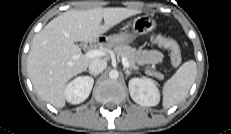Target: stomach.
I'll use <instances>...</instances> for the list:
<instances>
[{
	"mask_svg": "<svg viewBox=\"0 0 231 134\" xmlns=\"http://www.w3.org/2000/svg\"><path fill=\"white\" fill-rule=\"evenodd\" d=\"M157 27L156 21L149 15L138 16L133 20L131 33H120L107 37L111 46L126 45L133 42L138 36L145 35Z\"/></svg>",
	"mask_w": 231,
	"mask_h": 134,
	"instance_id": "1",
	"label": "stomach"
}]
</instances>
